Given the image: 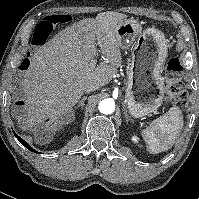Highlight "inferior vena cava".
<instances>
[{
  "instance_id": "602c4592",
  "label": "inferior vena cava",
  "mask_w": 199,
  "mask_h": 199,
  "mask_svg": "<svg viewBox=\"0 0 199 199\" xmlns=\"http://www.w3.org/2000/svg\"><path fill=\"white\" fill-rule=\"evenodd\" d=\"M100 88V85L98 83H91L90 85H88L85 89V92L89 93L92 91H96Z\"/></svg>"
}]
</instances>
